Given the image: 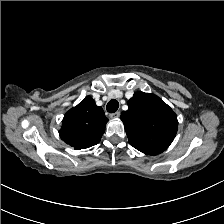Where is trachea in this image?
Instances as JSON below:
<instances>
[{
    "instance_id": "3493384b",
    "label": "trachea",
    "mask_w": 224,
    "mask_h": 224,
    "mask_svg": "<svg viewBox=\"0 0 224 224\" xmlns=\"http://www.w3.org/2000/svg\"><path fill=\"white\" fill-rule=\"evenodd\" d=\"M119 103L117 100L112 99L108 102L106 109L109 113H115L118 110Z\"/></svg>"
}]
</instances>
